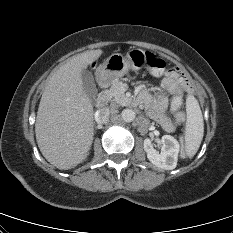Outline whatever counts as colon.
I'll return each mask as SVG.
<instances>
[{"label": "colon", "instance_id": "5ec220e1", "mask_svg": "<svg viewBox=\"0 0 233 233\" xmlns=\"http://www.w3.org/2000/svg\"><path fill=\"white\" fill-rule=\"evenodd\" d=\"M144 59H145L147 71L151 75L159 77L164 74L166 69V63L162 58L153 55L151 53H146ZM181 103H182L181 96L178 92L175 94V96L172 99L171 109L173 111L178 110L181 106ZM180 155L182 158H184L186 156V152L182 151Z\"/></svg>", "mask_w": 233, "mask_h": 233}]
</instances>
